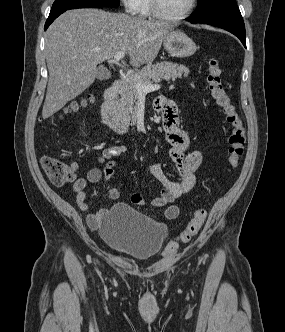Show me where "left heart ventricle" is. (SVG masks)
I'll return each mask as SVG.
<instances>
[{
	"label": "left heart ventricle",
	"mask_w": 285,
	"mask_h": 332,
	"mask_svg": "<svg viewBox=\"0 0 285 332\" xmlns=\"http://www.w3.org/2000/svg\"><path fill=\"white\" fill-rule=\"evenodd\" d=\"M191 0H160L163 11L170 16L182 14L190 5Z\"/></svg>",
	"instance_id": "left-heart-ventricle-1"
}]
</instances>
